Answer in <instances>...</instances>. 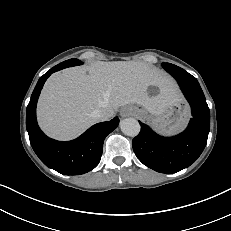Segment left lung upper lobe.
Listing matches in <instances>:
<instances>
[{
    "label": "left lung upper lobe",
    "mask_w": 231,
    "mask_h": 231,
    "mask_svg": "<svg viewBox=\"0 0 231 231\" xmlns=\"http://www.w3.org/2000/svg\"><path fill=\"white\" fill-rule=\"evenodd\" d=\"M162 66H163L164 69L165 68H175V67H178V66H175V65L169 64V63H163Z\"/></svg>",
    "instance_id": "left-lung-upper-lobe-1"
}]
</instances>
